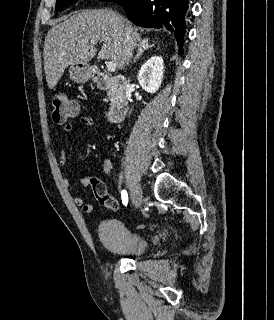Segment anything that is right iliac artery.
Instances as JSON below:
<instances>
[{"label": "right iliac artery", "instance_id": "obj_1", "mask_svg": "<svg viewBox=\"0 0 274 320\" xmlns=\"http://www.w3.org/2000/svg\"><path fill=\"white\" fill-rule=\"evenodd\" d=\"M122 203L126 206L128 204V194L125 190L121 192Z\"/></svg>", "mask_w": 274, "mask_h": 320}]
</instances>
